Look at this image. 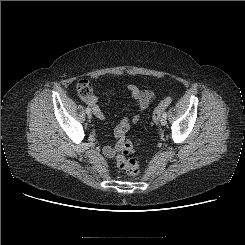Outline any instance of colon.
<instances>
[{
  "label": "colon",
  "mask_w": 245,
  "mask_h": 245,
  "mask_svg": "<svg viewBox=\"0 0 245 245\" xmlns=\"http://www.w3.org/2000/svg\"><path fill=\"white\" fill-rule=\"evenodd\" d=\"M76 91L78 95L83 99H88L92 95V86L87 80H80L76 84ZM172 103L171 97H166L162 99L152 113V122L156 124L162 112ZM122 136H124V132L120 131ZM134 148L133 144L129 141H121L119 145V154L117 156V164L118 166L125 170L128 174L132 176H137L140 172L139 165L137 161L129 156L132 154Z\"/></svg>",
  "instance_id": "colon-1"
}]
</instances>
